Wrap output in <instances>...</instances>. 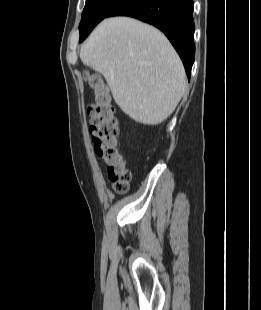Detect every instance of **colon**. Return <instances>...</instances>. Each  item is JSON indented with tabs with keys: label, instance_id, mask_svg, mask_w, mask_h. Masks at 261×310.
Segmentation results:
<instances>
[{
	"label": "colon",
	"instance_id": "5ec220e1",
	"mask_svg": "<svg viewBox=\"0 0 261 310\" xmlns=\"http://www.w3.org/2000/svg\"><path fill=\"white\" fill-rule=\"evenodd\" d=\"M86 79L94 88L95 94L88 107L90 132L95 152L106 166L108 178L114 190L123 194L129 188L131 172L120 150V126L116 107L103 79L97 74H86Z\"/></svg>",
	"mask_w": 261,
	"mask_h": 310
}]
</instances>
